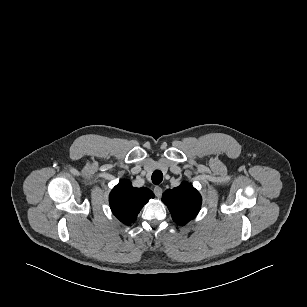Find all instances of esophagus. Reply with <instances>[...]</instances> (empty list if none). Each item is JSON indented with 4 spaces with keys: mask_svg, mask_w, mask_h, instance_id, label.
Segmentation results:
<instances>
[{
    "mask_svg": "<svg viewBox=\"0 0 307 307\" xmlns=\"http://www.w3.org/2000/svg\"><path fill=\"white\" fill-rule=\"evenodd\" d=\"M162 192H163V190H162L161 187H159V186L154 187V193H155L156 197L160 198L161 195H162Z\"/></svg>",
    "mask_w": 307,
    "mask_h": 307,
    "instance_id": "1",
    "label": "esophagus"
}]
</instances>
